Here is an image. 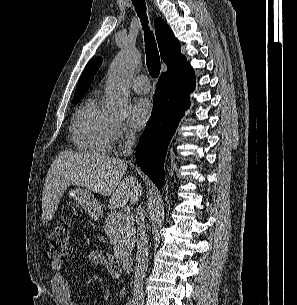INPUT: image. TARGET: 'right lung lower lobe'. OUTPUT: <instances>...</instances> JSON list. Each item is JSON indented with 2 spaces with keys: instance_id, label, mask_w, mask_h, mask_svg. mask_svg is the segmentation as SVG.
I'll use <instances>...</instances> for the list:
<instances>
[{
  "instance_id": "98d812e1",
  "label": "right lung lower lobe",
  "mask_w": 297,
  "mask_h": 305,
  "mask_svg": "<svg viewBox=\"0 0 297 305\" xmlns=\"http://www.w3.org/2000/svg\"><path fill=\"white\" fill-rule=\"evenodd\" d=\"M194 88L195 75L190 65L175 74H162L158 80L151 117L136 148L138 164L158 188L165 183L162 169L167 146Z\"/></svg>"
}]
</instances>
